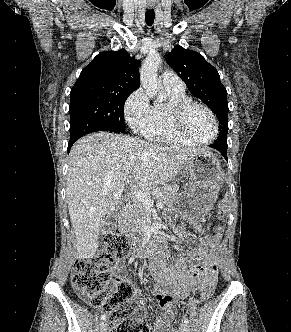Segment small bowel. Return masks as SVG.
Here are the masks:
<instances>
[{
  "label": "small bowel",
  "instance_id": "c3829d8e",
  "mask_svg": "<svg viewBox=\"0 0 291 332\" xmlns=\"http://www.w3.org/2000/svg\"><path fill=\"white\" fill-rule=\"evenodd\" d=\"M194 227L198 233H203V227L199 221H195ZM175 241L183 246L188 243L189 238L185 232L183 224L176 225L174 228ZM215 235L206 238L202 245L189 251L187 254L178 258L175 264H169V253H163L161 257L152 261L149 271L155 280L154 295L162 309L161 317L158 318L153 329L149 332H174L172 322L174 320V303L187 298L193 291L203 289L211 282L216 281V260L214 249L221 238V228L215 227ZM187 259L196 262L189 267ZM114 271L117 278L125 273L123 265H116ZM138 314L134 320L141 321L140 314L144 312L142 299L139 298Z\"/></svg>",
  "mask_w": 291,
  "mask_h": 332
}]
</instances>
